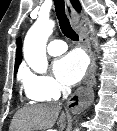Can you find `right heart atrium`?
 <instances>
[{
  "instance_id": "obj_1",
  "label": "right heart atrium",
  "mask_w": 117,
  "mask_h": 131,
  "mask_svg": "<svg viewBox=\"0 0 117 131\" xmlns=\"http://www.w3.org/2000/svg\"><path fill=\"white\" fill-rule=\"evenodd\" d=\"M25 91L43 100H55L65 91V87L54 78L24 70L21 75Z\"/></svg>"
}]
</instances>
